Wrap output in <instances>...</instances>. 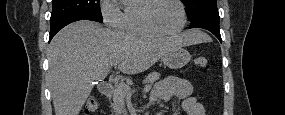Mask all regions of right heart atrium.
Listing matches in <instances>:
<instances>
[{
	"instance_id": "d8ad5b80",
	"label": "right heart atrium",
	"mask_w": 285,
	"mask_h": 115,
	"mask_svg": "<svg viewBox=\"0 0 285 115\" xmlns=\"http://www.w3.org/2000/svg\"><path fill=\"white\" fill-rule=\"evenodd\" d=\"M103 20L112 27L119 28L122 11L115 0H104L101 4Z\"/></svg>"
}]
</instances>
